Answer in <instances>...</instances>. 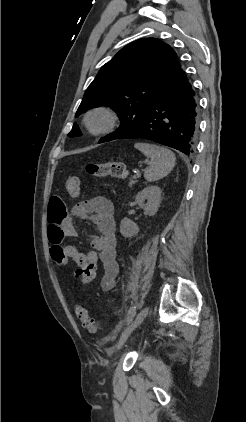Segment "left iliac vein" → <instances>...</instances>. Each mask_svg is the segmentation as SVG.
<instances>
[{"mask_svg": "<svg viewBox=\"0 0 246 422\" xmlns=\"http://www.w3.org/2000/svg\"><path fill=\"white\" fill-rule=\"evenodd\" d=\"M149 312V308L146 306L144 307L140 313L136 316V318L131 322V324L125 329V331L123 332L118 345H117V349L120 350L123 345L125 344L126 340L128 339V337L130 336V334L132 333V331L139 325L141 324L144 319L147 317Z\"/></svg>", "mask_w": 246, "mask_h": 422, "instance_id": "obj_1", "label": "left iliac vein"}]
</instances>
